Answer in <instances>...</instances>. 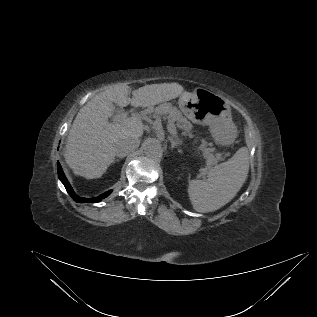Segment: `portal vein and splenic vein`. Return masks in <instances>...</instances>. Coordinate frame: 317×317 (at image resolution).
I'll return each instance as SVG.
<instances>
[{"mask_svg": "<svg viewBox=\"0 0 317 317\" xmlns=\"http://www.w3.org/2000/svg\"><path fill=\"white\" fill-rule=\"evenodd\" d=\"M125 118H127V113H117L116 115H114L113 121H121ZM168 128L172 134H176L175 124L170 123L168 125Z\"/></svg>", "mask_w": 317, "mask_h": 317, "instance_id": "portal-vein-and-splenic-vein-1", "label": "portal vein and splenic vein"}]
</instances>
